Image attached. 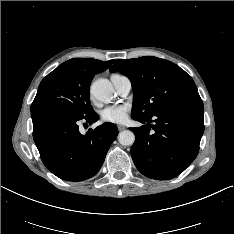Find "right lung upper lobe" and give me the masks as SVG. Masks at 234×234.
Instances as JSON below:
<instances>
[{
	"instance_id": "obj_1",
	"label": "right lung upper lobe",
	"mask_w": 234,
	"mask_h": 234,
	"mask_svg": "<svg viewBox=\"0 0 234 234\" xmlns=\"http://www.w3.org/2000/svg\"><path fill=\"white\" fill-rule=\"evenodd\" d=\"M114 60L100 61L92 58H74L61 64L91 83L94 76L106 70Z\"/></svg>"
}]
</instances>
